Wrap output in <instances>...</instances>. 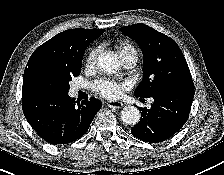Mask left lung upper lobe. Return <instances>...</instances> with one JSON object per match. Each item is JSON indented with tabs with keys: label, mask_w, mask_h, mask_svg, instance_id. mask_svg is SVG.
Returning <instances> with one entry per match:
<instances>
[{
	"label": "left lung upper lobe",
	"mask_w": 224,
	"mask_h": 175,
	"mask_svg": "<svg viewBox=\"0 0 224 175\" xmlns=\"http://www.w3.org/2000/svg\"><path fill=\"white\" fill-rule=\"evenodd\" d=\"M120 30L134 39L143 53L144 80L135 91L136 97L149 98L167 88L194 90L188 64L173 39L140 23Z\"/></svg>",
	"instance_id": "left-lung-upper-lobe-1"
}]
</instances>
